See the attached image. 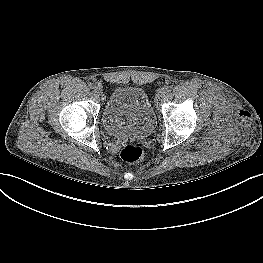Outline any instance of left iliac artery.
<instances>
[{"instance_id":"44dca946","label":"left iliac artery","mask_w":263,"mask_h":263,"mask_svg":"<svg viewBox=\"0 0 263 263\" xmlns=\"http://www.w3.org/2000/svg\"><path fill=\"white\" fill-rule=\"evenodd\" d=\"M162 92H163L164 94H168V93L170 92V89H169L168 87H164V88L162 89Z\"/></svg>"}]
</instances>
